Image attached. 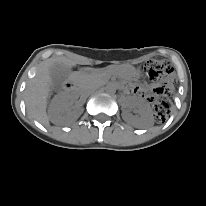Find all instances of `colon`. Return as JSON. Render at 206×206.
<instances>
[{
  "mask_svg": "<svg viewBox=\"0 0 206 206\" xmlns=\"http://www.w3.org/2000/svg\"><path fill=\"white\" fill-rule=\"evenodd\" d=\"M143 72L152 82L160 84L154 91L152 98L153 115L158 122H162L170 112V95L174 79V68L169 61L150 60L143 66Z\"/></svg>",
  "mask_w": 206,
  "mask_h": 206,
  "instance_id": "5ec220e1",
  "label": "colon"
}]
</instances>
